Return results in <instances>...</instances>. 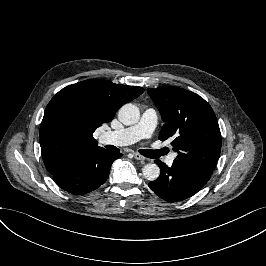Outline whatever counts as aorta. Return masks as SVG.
Instances as JSON below:
<instances>
[{
    "label": "aorta",
    "mask_w": 266,
    "mask_h": 266,
    "mask_svg": "<svg viewBox=\"0 0 266 266\" xmlns=\"http://www.w3.org/2000/svg\"><path fill=\"white\" fill-rule=\"evenodd\" d=\"M139 118V109L132 103L124 104L118 113V119L124 125L136 124ZM143 176L149 181H155L160 176V168L154 163H148L143 167Z\"/></svg>",
    "instance_id": "1"
}]
</instances>
